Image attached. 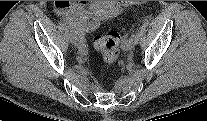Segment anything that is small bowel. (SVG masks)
Segmentation results:
<instances>
[{"instance_id": "small-bowel-1", "label": "small bowel", "mask_w": 207, "mask_h": 121, "mask_svg": "<svg viewBox=\"0 0 207 121\" xmlns=\"http://www.w3.org/2000/svg\"><path fill=\"white\" fill-rule=\"evenodd\" d=\"M55 9L64 19L74 23L82 34L96 27L85 9V2L56 1Z\"/></svg>"}]
</instances>
